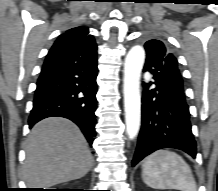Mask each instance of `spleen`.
I'll return each mask as SVG.
<instances>
[{
	"mask_svg": "<svg viewBox=\"0 0 218 191\" xmlns=\"http://www.w3.org/2000/svg\"><path fill=\"white\" fill-rule=\"evenodd\" d=\"M142 178L154 189L197 191L190 166L181 156L166 149L152 153L143 161Z\"/></svg>",
	"mask_w": 218,
	"mask_h": 191,
	"instance_id": "obj_1",
	"label": "spleen"
}]
</instances>
